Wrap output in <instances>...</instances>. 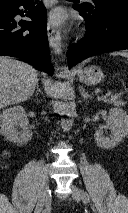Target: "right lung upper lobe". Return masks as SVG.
I'll return each instance as SVG.
<instances>
[{"instance_id":"1","label":"right lung upper lobe","mask_w":128,"mask_h":213,"mask_svg":"<svg viewBox=\"0 0 128 213\" xmlns=\"http://www.w3.org/2000/svg\"><path fill=\"white\" fill-rule=\"evenodd\" d=\"M20 0H0V7L12 5Z\"/></svg>"}]
</instances>
